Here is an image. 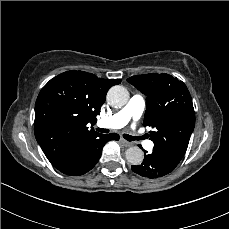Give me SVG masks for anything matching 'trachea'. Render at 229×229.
Returning <instances> with one entry per match:
<instances>
[{
	"label": "trachea",
	"mask_w": 229,
	"mask_h": 229,
	"mask_svg": "<svg viewBox=\"0 0 229 229\" xmlns=\"http://www.w3.org/2000/svg\"><path fill=\"white\" fill-rule=\"evenodd\" d=\"M96 130L100 133H108L109 132V129H104V128H96ZM123 137L128 141L137 140V137H133V136H130L128 134H123Z\"/></svg>",
	"instance_id": "obj_1"
}]
</instances>
